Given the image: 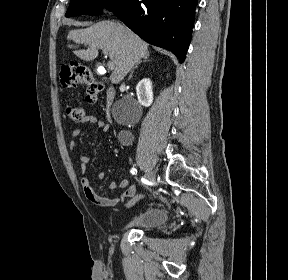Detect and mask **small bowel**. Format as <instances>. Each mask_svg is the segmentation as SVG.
<instances>
[{"label": "small bowel", "mask_w": 288, "mask_h": 280, "mask_svg": "<svg viewBox=\"0 0 288 280\" xmlns=\"http://www.w3.org/2000/svg\"><path fill=\"white\" fill-rule=\"evenodd\" d=\"M83 123L87 124H92L95 127L101 129L103 132H107L109 130V126L102 120H99L98 118L94 116H86L83 120ZM84 128L80 127L77 129H74L71 132L72 138H76L83 132ZM69 148L71 150H75L77 148V143L72 140L69 144ZM79 161H80V167H81V172L84 174L87 164L89 162L88 156L84 154L79 155ZM106 177L105 172H99L97 175L98 180H104ZM80 186L81 190L83 192V195L85 198L91 202L92 204L99 206V207H104V208H113L118 206L121 203L125 202V207H130L136 203V198L138 197L137 195V188L134 184H129L127 179L124 177H118L113 179L110 184L108 189L110 191L115 190L116 188H120L123 190V193L120 197H109L106 196L98 191H96L92 185L90 184L89 180L87 177L82 176L80 178ZM131 205L129 206V204Z\"/></svg>", "instance_id": "small-bowel-1"}]
</instances>
